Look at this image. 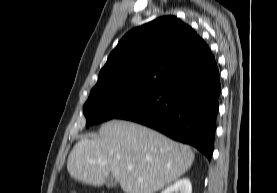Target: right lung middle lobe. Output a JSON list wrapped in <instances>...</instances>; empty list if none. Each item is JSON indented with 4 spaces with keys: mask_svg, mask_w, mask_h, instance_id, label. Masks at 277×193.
Masks as SVG:
<instances>
[{
    "mask_svg": "<svg viewBox=\"0 0 277 193\" xmlns=\"http://www.w3.org/2000/svg\"><path fill=\"white\" fill-rule=\"evenodd\" d=\"M157 89L141 86H125L108 90L92 91L83 107L86 127L113 118L136 107Z\"/></svg>",
    "mask_w": 277,
    "mask_h": 193,
    "instance_id": "right-lung-middle-lobe-1",
    "label": "right lung middle lobe"
}]
</instances>
